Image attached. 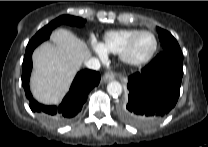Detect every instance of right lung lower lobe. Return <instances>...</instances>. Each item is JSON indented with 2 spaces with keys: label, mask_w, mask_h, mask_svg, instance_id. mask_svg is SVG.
<instances>
[{
  "label": "right lung lower lobe",
  "mask_w": 208,
  "mask_h": 147,
  "mask_svg": "<svg viewBox=\"0 0 208 147\" xmlns=\"http://www.w3.org/2000/svg\"><path fill=\"white\" fill-rule=\"evenodd\" d=\"M50 34L37 39L32 38L27 47L22 64V86L26 97L30 101V108L33 112L40 113L47 121L53 124H66L71 121L82 109L90 90L100 82V74L93 70L80 71L63 101L58 106H45L33 99L29 79L32 70L33 50L43 41L49 38Z\"/></svg>",
  "instance_id": "obj_1"
}]
</instances>
